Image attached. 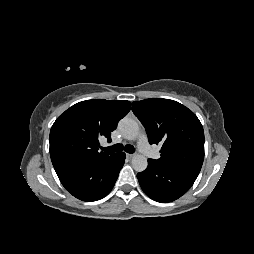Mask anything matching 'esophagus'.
<instances>
[{
	"mask_svg": "<svg viewBox=\"0 0 254 254\" xmlns=\"http://www.w3.org/2000/svg\"><path fill=\"white\" fill-rule=\"evenodd\" d=\"M126 157H127L128 159H132V158L134 157V154H129V153H127V154H126Z\"/></svg>",
	"mask_w": 254,
	"mask_h": 254,
	"instance_id": "esophagus-1",
	"label": "esophagus"
}]
</instances>
